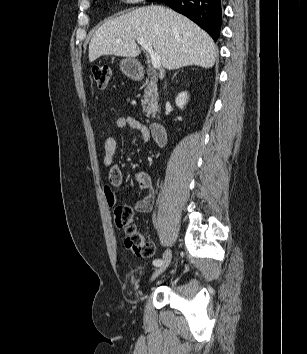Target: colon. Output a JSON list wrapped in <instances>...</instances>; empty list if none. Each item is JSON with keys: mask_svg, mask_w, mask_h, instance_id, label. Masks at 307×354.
<instances>
[{"mask_svg": "<svg viewBox=\"0 0 307 354\" xmlns=\"http://www.w3.org/2000/svg\"><path fill=\"white\" fill-rule=\"evenodd\" d=\"M110 68L106 65H97L92 68L94 81L99 89H105L110 79ZM114 221L118 228L126 233L125 245L140 258H150L154 255V244L146 239L137 228L133 220V209L128 205L118 206L114 210Z\"/></svg>", "mask_w": 307, "mask_h": 354, "instance_id": "5ec220e1", "label": "colon"}]
</instances>
